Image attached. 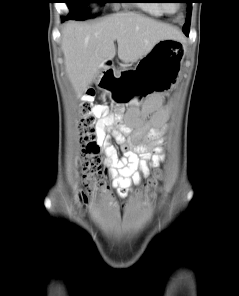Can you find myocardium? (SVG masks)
Listing matches in <instances>:
<instances>
[{"label": "myocardium", "mask_w": 239, "mask_h": 296, "mask_svg": "<svg viewBox=\"0 0 239 296\" xmlns=\"http://www.w3.org/2000/svg\"><path fill=\"white\" fill-rule=\"evenodd\" d=\"M161 6H162V8H163L164 11H166L168 13H173L174 11H176L178 9L179 4H176V6H175L174 9H172L170 7V5L167 4V3H161Z\"/></svg>", "instance_id": "myocardium-1"}]
</instances>
